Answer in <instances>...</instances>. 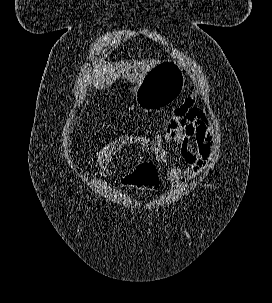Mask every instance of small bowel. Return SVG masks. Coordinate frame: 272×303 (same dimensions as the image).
I'll list each match as a JSON object with an SVG mask.
<instances>
[{
    "label": "small bowel",
    "instance_id": "1",
    "mask_svg": "<svg viewBox=\"0 0 272 303\" xmlns=\"http://www.w3.org/2000/svg\"><path fill=\"white\" fill-rule=\"evenodd\" d=\"M166 143L179 147L178 160L184 166H169L165 171L166 179L175 187L187 182L201 173L212 157L215 145L214 132L206 111L198 106L194 97L187 98L173 112L167 130L153 139L139 135H124L115 138L108 153V159L100 174L108 177L113 174L111 166L115 156L127 146H136L143 152H151L158 162L169 160ZM135 170H123L121 182L134 185Z\"/></svg>",
    "mask_w": 272,
    "mask_h": 303
}]
</instances>
